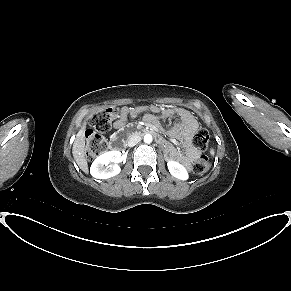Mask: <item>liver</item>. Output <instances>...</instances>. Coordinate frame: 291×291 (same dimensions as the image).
<instances>
[{
    "instance_id": "1",
    "label": "liver",
    "mask_w": 291,
    "mask_h": 291,
    "mask_svg": "<svg viewBox=\"0 0 291 291\" xmlns=\"http://www.w3.org/2000/svg\"><path fill=\"white\" fill-rule=\"evenodd\" d=\"M85 129L86 125L84 124L78 131L75 141L73 143L72 153L74 160L76 161L79 168L83 172L88 173V163L87 159L85 158Z\"/></svg>"
}]
</instances>
